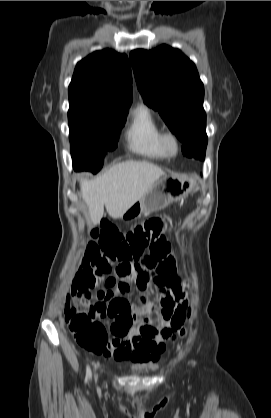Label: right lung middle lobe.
Returning a JSON list of instances; mask_svg holds the SVG:
<instances>
[{
  "label": "right lung middle lobe",
  "instance_id": "1",
  "mask_svg": "<svg viewBox=\"0 0 271 418\" xmlns=\"http://www.w3.org/2000/svg\"><path fill=\"white\" fill-rule=\"evenodd\" d=\"M126 115L83 106L69 107V138L74 169L93 173L101 169L106 151L117 147Z\"/></svg>",
  "mask_w": 271,
  "mask_h": 418
}]
</instances>
